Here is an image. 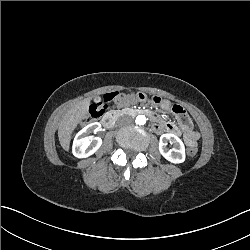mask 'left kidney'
Returning <instances> with one entry per match:
<instances>
[{"instance_id": "left-kidney-1", "label": "left kidney", "mask_w": 250, "mask_h": 250, "mask_svg": "<svg viewBox=\"0 0 250 250\" xmlns=\"http://www.w3.org/2000/svg\"><path fill=\"white\" fill-rule=\"evenodd\" d=\"M168 142L176 145V148L167 150L166 146ZM159 150H160V153L170 162L180 163L184 161L185 150H184L183 142L174 134L161 135L160 141H159Z\"/></svg>"}]
</instances>
